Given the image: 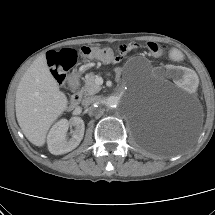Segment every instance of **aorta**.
Returning a JSON list of instances; mask_svg holds the SVG:
<instances>
[{"label": "aorta", "instance_id": "762f6f07", "mask_svg": "<svg viewBox=\"0 0 215 215\" xmlns=\"http://www.w3.org/2000/svg\"><path fill=\"white\" fill-rule=\"evenodd\" d=\"M117 104H118V100L115 97H110L106 102V105L109 108H115L117 106Z\"/></svg>", "mask_w": 215, "mask_h": 215}]
</instances>
